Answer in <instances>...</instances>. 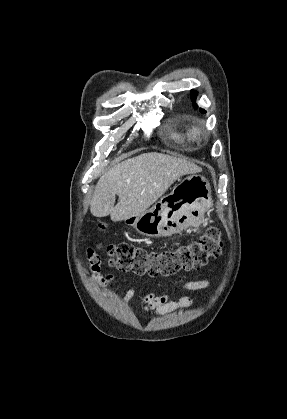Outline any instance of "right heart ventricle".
<instances>
[{
    "label": "right heart ventricle",
    "instance_id": "right-heart-ventricle-1",
    "mask_svg": "<svg viewBox=\"0 0 287 419\" xmlns=\"http://www.w3.org/2000/svg\"><path fill=\"white\" fill-rule=\"evenodd\" d=\"M167 127L171 138L177 142L189 143L195 139L191 126L186 123L170 119L167 121Z\"/></svg>",
    "mask_w": 287,
    "mask_h": 419
}]
</instances>
